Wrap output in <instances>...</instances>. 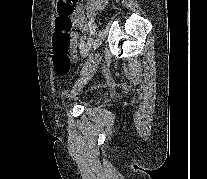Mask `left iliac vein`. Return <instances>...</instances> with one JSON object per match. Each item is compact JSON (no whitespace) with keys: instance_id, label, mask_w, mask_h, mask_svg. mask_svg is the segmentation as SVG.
Here are the masks:
<instances>
[{"instance_id":"left-iliac-vein-1","label":"left iliac vein","mask_w":207,"mask_h":179,"mask_svg":"<svg viewBox=\"0 0 207 179\" xmlns=\"http://www.w3.org/2000/svg\"><path fill=\"white\" fill-rule=\"evenodd\" d=\"M99 59H101V56L95 55L93 63L90 64L86 71L82 74V76L75 82L71 94L69 96V99L74 98L80 90L84 87V85L92 78L94 73L96 72L99 64Z\"/></svg>"}]
</instances>
